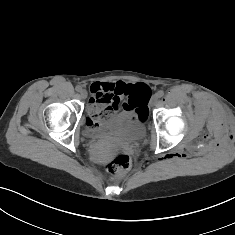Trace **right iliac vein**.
<instances>
[{"instance_id": "1", "label": "right iliac vein", "mask_w": 235, "mask_h": 235, "mask_svg": "<svg viewBox=\"0 0 235 235\" xmlns=\"http://www.w3.org/2000/svg\"><path fill=\"white\" fill-rule=\"evenodd\" d=\"M80 94H81V97H82L83 99H86V98H87V95H88V94H87V91H86V90H84V89L81 90V91H80Z\"/></svg>"}]
</instances>
